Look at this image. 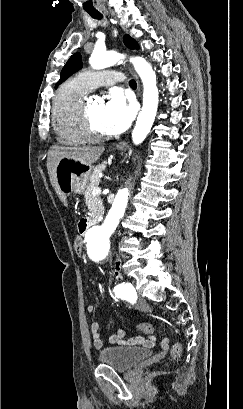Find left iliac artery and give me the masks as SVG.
<instances>
[{"instance_id":"left-iliac-artery-1","label":"left iliac artery","mask_w":243,"mask_h":409,"mask_svg":"<svg viewBox=\"0 0 243 409\" xmlns=\"http://www.w3.org/2000/svg\"><path fill=\"white\" fill-rule=\"evenodd\" d=\"M113 291L118 298L127 299L130 302H134L136 300V293L131 284H118L114 287Z\"/></svg>"}]
</instances>
